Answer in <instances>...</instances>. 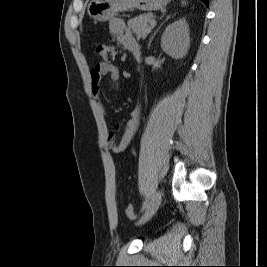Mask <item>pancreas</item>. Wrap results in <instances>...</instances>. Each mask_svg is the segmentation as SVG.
Instances as JSON below:
<instances>
[{
	"label": "pancreas",
	"instance_id": "cf45deb5",
	"mask_svg": "<svg viewBox=\"0 0 267 267\" xmlns=\"http://www.w3.org/2000/svg\"><path fill=\"white\" fill-rule=\"evenodd\" d=\"M152 17V14H141L134 17L128 21V28L135 33L138 39H145L153 28V26L149 24Z\"/></svg>",
	"mask_w": 267,
	"mask_h": 267
}]
</instances>
